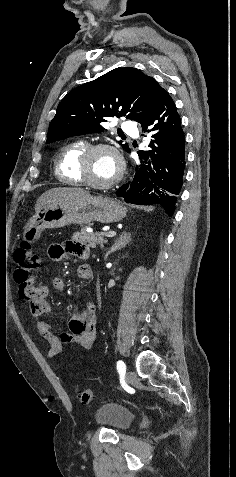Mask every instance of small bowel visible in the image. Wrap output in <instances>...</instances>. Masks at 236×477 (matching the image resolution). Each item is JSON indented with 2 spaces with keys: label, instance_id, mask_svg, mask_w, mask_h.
Here are the masks:
<instances>
[{
  "label": "small bowel",
  "instance_id": "obj_1",
  "mask_svg": "<svg viewBox=\"0 0 236 477\" xmlns=\"http://www.w3.org/2000/svg\"><path fill=\"white\" fill-rule=\"evenodd\" d=\"M49 257L53 261H61L67 255H75L83 260H89L90 251L86 245L76 242L54 243L50 245ZM80 279L92 280L94 273L89 264H82L78 269ZM57 292L65 290V281L60 277H53L48 284L34 281L31 291H21L23 297L29 300V312L36 320L40 335L49 342V358L58 356L65 345H76L82 349H90L96 336L95 305L92 300H85L77 309L69 322V332L57 334L53 325L47 321L51 309L46 302L49 288Z\"/></svg>",
  "mask_w": 236,
  "mask_h": 477
}]
</instances>
